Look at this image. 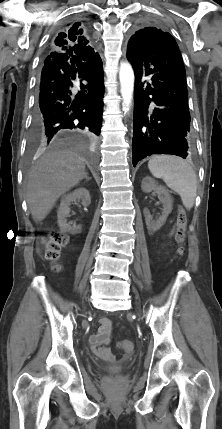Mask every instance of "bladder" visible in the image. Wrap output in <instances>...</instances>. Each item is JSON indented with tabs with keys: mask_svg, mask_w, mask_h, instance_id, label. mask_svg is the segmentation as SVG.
<instances>
[{
	"mask_svg": "<svg viewBox=\"0 0 222 429\" xmlns=\"http://www.w3.org/2000/svg\"><path fill=\"white\" fill-rule=\"evenodd\" d=\"M101 370L107 373L117 374L124 370V366H103Z\"/></svg>",
	"mask_w": 222,
	"mask_h": 429,
	"instance_id": "obj_1",
	"label": "bladder"
}]
</instances>
